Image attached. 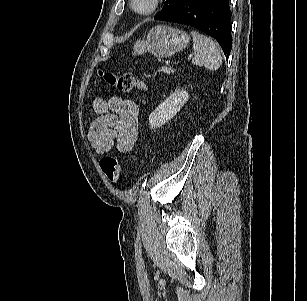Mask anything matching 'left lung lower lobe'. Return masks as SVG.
<instances>
[{
    "label": "left lung lower lobe",
    "instance_id": "0a47b994",
    "mask_svg": "<svg viewBox=\"0 0 307 301\" xmlns=\"http://www.w3.org/2000/svg\"><path fill=\"white\" fill-rule=\"evenodd\" d=\"M229 0H179L158 20L186 24L215 38L228 59L232 48Z\"/></svg>",
    "mask_w": 307,
    "mask_h": 301
}]
</instances>
